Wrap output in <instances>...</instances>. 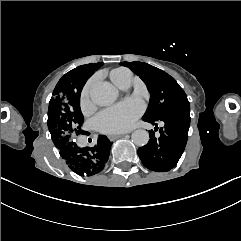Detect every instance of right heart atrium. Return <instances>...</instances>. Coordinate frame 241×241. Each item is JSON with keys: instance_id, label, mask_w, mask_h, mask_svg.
Returning a JSON list of instances; mask_svg holds the SVG:
<instances>
[{"instance_id": "1", "label": "right heart atrium", "mask_w": 241, "mask_h": 241, "mask_svg": "<svg viewBox=\"0 0 241 241\" xmlns=\"http://www.w3.org/2000/svg\"><path fill=\"white\" fill-rule=\"evenodd\" d=\"M80 106L82 111L90 112L92 108V101L90 100L89 93L87 90L83 91L80 97Z\"/></svg>"}]
</instances>
